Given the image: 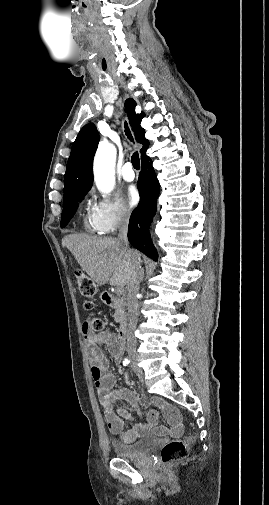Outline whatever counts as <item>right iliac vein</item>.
Segmentation results:
<instances>
[{
  "mask_svg": "<svg viewBox=\"0 0 269 505\" xmlns=\"http://www.w3.org/2000/svg\"><path fill=\"white\" fill-rule=\"evenodd\" d=\"M134 360H135V358H132V361H134ZM136 373H137L138 375H140V376H139V379L141 380L142 385H145V382H144V376L142 375V371H141V369H139V368H138V369L136 370Z\"/></svg>",
  "mask_w": 269,
  "mask_h": 505,
  "instance_id": "1",
  "label": "right iliac vein"
}]
</instances>
